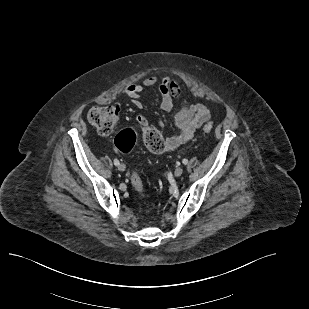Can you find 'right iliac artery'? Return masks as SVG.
Returning <instances> with one entry per match:
<instances>
[{"label":"right iliac artery","mask_w":309,"mask_h":309,"mask_svg":"<svg viewBox=\"0 0 309 309\" xmlns=\"http://www.w3.org/2000/svg\"><path fill=\"white\" fill-rule=\"evenodd\" d=\"M114 164L116 165V166H118L120 163H119V160H117V159H114Z\"/></svg>","instance_id":"1"}]
</instances>
